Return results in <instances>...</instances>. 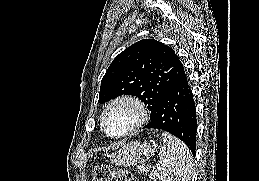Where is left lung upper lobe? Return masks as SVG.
I'll list each match as a JSON object with an SVG mask.
<instances>
[{
	"label": "left lung upper lobe",
	"mask_w": 259,
	"mask_h": 181,
	"mask_svg": "<svg viewBox=\"0 0 259 181\" xmlns=\"http://www.w3.org/2000/svg\"><path fill=\"white\" fill-rule=\"evenodd\" d=\"M183 65L167 45L153 39L138 41L122 51L101 81L99 102L133 95L148 105L150 119L165 92L177 81Z\"/></svg>",
	"instance_id": "5c2ea615"
}]
</instances>
